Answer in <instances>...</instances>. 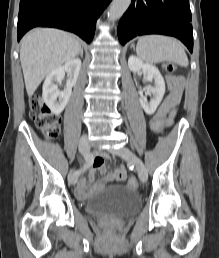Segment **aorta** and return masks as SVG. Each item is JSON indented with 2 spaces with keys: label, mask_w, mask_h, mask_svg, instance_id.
<instances>
[{
  "label": "aorta",
  "mask_w": 219,
  "mask_h": 258,
  "mask_svg": "<svg viewBox=\"0 0 219 258\" xmlns=\"http://www.w3.org/2000/svg\"><path fill=\"white\" fill-rule=\"evenodd\" d=\"M131 4V0H113L109 11L108 19L109 21H116L119 19Z\"/></svg>",
  "instance_id": "obj_1"
}]
</instances>
